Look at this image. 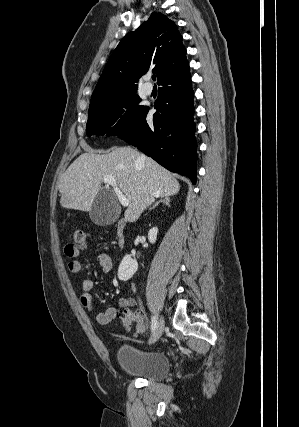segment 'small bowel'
Masks as SVG:
<instances>
[{
  "label": "small bowel",
  "instance_id": "small-bowel-1",
  "mask_svg": "<svg viewBox=\"0 0 299 427\" xmlns=\"http://www.w3.org/2000/svg\"><path fill=\"white\" fill-rule=\"evenodd\" d=\"M74 257L75 256L71 257V259L68 261L67 266L71 273L79 274L82 270V266L77 259H74ZM97 260L103 272L108 273L111 271L112 261L108 254H105V253L100 254L97 257ZM81 289H82V294L80 296V304L85 310L92 311L95 307L94 298L91 294V292L94 289L93 281L90 279H84L81 282ZM134 305H136V302L134 299L121 297L118 300L116 307H111L105 310L104 312L98 313L96 316V321L101 325L108 324L119 315L120 308L126 307V306H134ZM136 315L140 319V321L136 324V333L139 335L145 332L146 325L143 320L142 314L137 313Z\"/></svg>",
  "mask_w": 299,
  "mask_h": 427
}]
</instances>
